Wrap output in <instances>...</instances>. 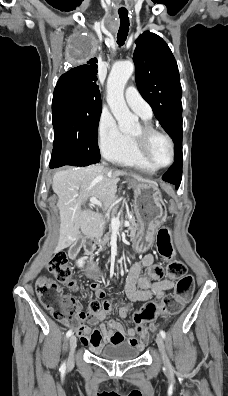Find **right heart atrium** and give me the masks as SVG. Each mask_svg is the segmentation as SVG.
<instances>
[{"label": "right heart atrium", "mask_w": 228, "mask_h": 396, "mask_svg": "<svg viewBox=\"0 0 228 396\" xmlns=\"http://www.w3.org/2000/svg\"><path fill=\"white\" fill-rule=\"evenodd\" d=\"M97 140L102 153L116 161L129 147V137L123 134L110 113L103 110L97 123Z\"/></svg>", "instance_id": "obj_1"}]
</instances>
